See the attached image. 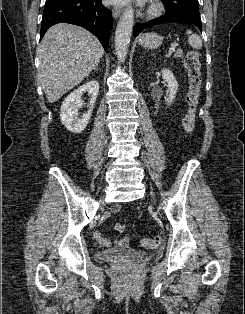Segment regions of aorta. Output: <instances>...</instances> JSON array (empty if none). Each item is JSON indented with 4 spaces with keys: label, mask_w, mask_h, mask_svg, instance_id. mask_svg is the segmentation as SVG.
<instances>
[{
    "label": "aorta",
    "mask_w": 245,
    "mask_h": 314,
    "mask_svg": "<svg viewBox=\"0 0 245 314\" xmlns=\"http://www.w3.org/2000/svg\"><path fill=\"white\" fill-rule=\"evenodd\" d=\"M133 24L134 10L129 7L123 12L115 31V50L121 62H124L127 56Z\"/></svg>",
    "instance_id": "aorta-1"
}]
</instances>
